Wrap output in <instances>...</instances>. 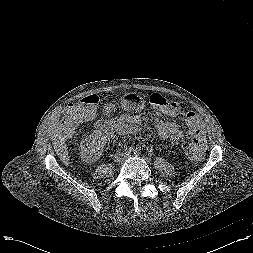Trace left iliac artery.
I'll return each instance as SVG.
<instances>
[{"label":"left iliac artery","instance_id":"44dca946","mask_svg":"<svg viewBox=\"0 0 253 253\" xmlns=\"http://www.w3.org/2000/svg\"><path fill=\"white\" fill-rule=\"evenodd\" d=\"M135 155H139L141 152L138 149L133 150Z\"/></svg>","mask_w":253,"mask_h":253}]
</instances>
